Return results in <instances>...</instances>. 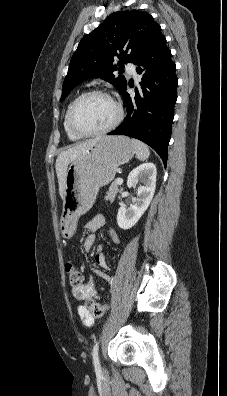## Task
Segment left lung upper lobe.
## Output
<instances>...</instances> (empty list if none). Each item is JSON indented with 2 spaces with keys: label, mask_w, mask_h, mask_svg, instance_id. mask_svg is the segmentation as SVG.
<instances>
[{
  "label": "left lung upper lobe",
  "mask_w": 227,
  "mask_h": 396,
  "mask_svg": "<svg viewBox=\"0 0 227 396\" xmlns=\"http://www.w3.org/2000/svg\"><path fill=\"white\" fill-rule=\"evenodd\" d=\"M162 36L161 27L148 13L132 10L111 14L80 41L70 61L61 101L89 78H102L122 92L127 82L123 75L113 74L121 71L114 59H120L121 67L127 62L134 63Z\"/></svg>",
  "instance_id": "5c2ea615"
}]
</instances>
